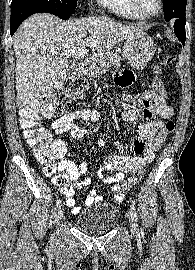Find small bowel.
Segmentation results:
<instances>
[{"label": "small bowel", "instance_id": "1", "mask_svg": "<svg viewBox=\"0 0 195 270\" xmlns=\"http://www.w3.org/2000/svg\"><path fill=\"white\" fill-rule=\"evenodd\" d=\"M134 74L129 70H123L115 75V82L121 87L128 86L134 81ZM151 90H147L142 94H126L121 98V104L132 103L138 105L141 110H125L124 117L133 120L138 124V135L129 146L130 153H126L123 145L119 142L114 143V148L117 152L110 154L103 162V168L97 173L105 184L111 185L114 193L113 200L121 201L124 197L119 191V183L125 178V174H134L138 169H142L149 165L158 151L166 136L164 134V123L157 120L154 116L161 119H169L173 116V108L165 102L156 104L150 101ZM100 119V113L96 110L82 108L73 110L55 121L50 126L53 134L62 135L69 133L74 139L83 141L91 124ZM78 121H83L85 127L78 125ZM105 139L98 141V146H104ZM61 168L66 171L74 181V184L64 190L67 206L72 209L73 214H78L81 211V206L77 205L73 195L76 191L92 182L91 177L81 179L87 173V164L80 162L78 165L70 160H65L61 163ZM110 171L114 174L104 176L103 171ZM103 201V197L98 195L95 190L89 191L85 198V205L91 206Z\"/></svg>", "mask_w": 195, "mask_h": 270}]
</instances>
